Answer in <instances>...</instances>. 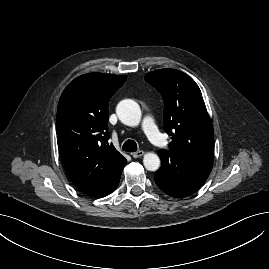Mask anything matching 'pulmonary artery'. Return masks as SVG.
Returning a JSON list of instances; mask_svg holds the SVG:
<instances>
[{"instance_id":"obj_1","label":"pulmonary artery","mask_w":269,"mask_h":269,"mask_svg":"<svg viewBox=\"0 0 269 269\" xmlns=\"http://www.w3.org/2000/svg\"><path fill=\"white\" fill-rule=\"evenodd\" d=\"M141 130L143 131L146 138L156 147H163L165 140L163 134L157 128L153 118L146 115L141 123Z\"/></svg>"}]
</instances>
